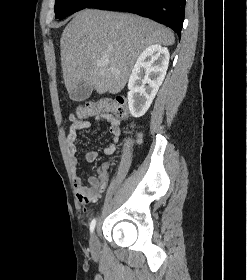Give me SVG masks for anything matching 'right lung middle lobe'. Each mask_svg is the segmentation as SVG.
I'll return each mask as SVG.
<instances>
[{
    "instance_id": "1",
    "label": "right lung middle lobe",
    "mask_w": 247,
    "mask_h": 280,
    "mask_svg": "<svg viewBox=\"0 0 247 280\" xmlns=\"http://www.w3.org/2000/svg\"><path fill=\"white\" fill-rule=\"evenodd\" d=\"M97 0H56L55 16L63 19L79 10L90 7Z\"/></svg>"
}]
</instances>
